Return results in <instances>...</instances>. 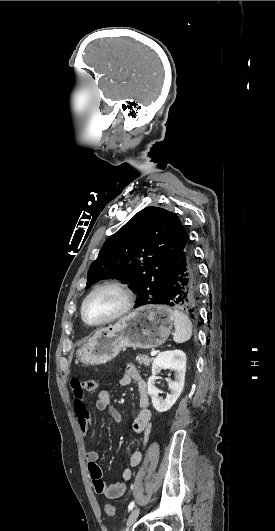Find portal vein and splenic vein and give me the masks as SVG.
Listing matches in <instances>:
<instances>
[{
	"label": "portal vein and splenic vein",
	"instance_id": "portal-vein-and-splenic-vein-1",
	"mask_svg": "<svg viewBox=\"0 0 275 531\" xmlns=\"http://www.w3.org/2000/svg\"><path fill=\"white\" fill-rule=\"evenodd\" d=\"M152 357L156 356V350H153V353H151Z\"/></svg>",
	"mask_w": 275,
	"mask_h": 531
}]
</instances>
